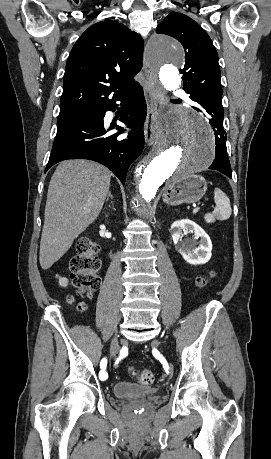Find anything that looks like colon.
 Returning <instances> with one entry per match:
<instances>
[{
	"label": "colon",
	"instance_id": "colon-1",
	"mask_svg": "<svg viewBox=\"0 0 271 459\" xmlns=\"http://www.w3.org/2000/svg\"><path fill=\"white\" fill-rule=\"evenodd\" d=\"M78 3L79 0H72ZM98 245L90 238L81 237L76 245V254L70 260L71 280L77 291L83 296H90L100 286V278L97 274L100 268V260L97 257ZM208 278L199 277L196 280L198 287L207 284ZM72 301L73 299L70 298ZM79 310H85L84 303H78ZM130 373L134 379L143 384L151 385L154 382V374L146 368H130Z\"/></svg>",
	"mask_w": 271,
	"mask_h": 459
}]
</instances>
